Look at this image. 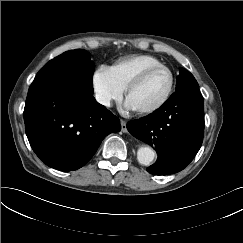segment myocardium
Listing matches in <instances>:
<instances>
[{"instance_id":"f54148a6","label":"myocardium","mask_w":243,"mask_h":243,"mask_svg":"<svg viewBox=\"0 0 243 243\" xmlns=\"http://www.w3.org/2000/svg\"><path fill=\"white\" fill-rule=\"evenodd\" d=\"M157 69H164L168 72L169 77H170L168 89H167L166 93L164 94V96L157 103H155L149 107H146V108L134 109L139 114H151L153 112H156L157 110L162 108L168 102V100L170 99V97L173 93L174 86H175V77H174L172 70L164 64H158V65L150 66V67L142 70L129 82V84L125 88V92H124L125 99L127 100L128 95L143 82V80L146 78V76L148 74H150L151 72H153L154 70H157Z\"/></svg>"}]
</instances>
